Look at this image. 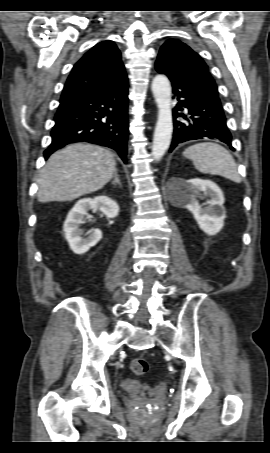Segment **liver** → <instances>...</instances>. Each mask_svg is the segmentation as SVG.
Wrapping results in <instances>:
<instances>
[{
	"instance_id": "6515ba94",
	"label": "liver",
	"mask_w": 270,
	"mask_h": 453,
	"mask_svg": "<svg viewBox=\"0 0 270 453\" xmlns=\"http://www.w3.org/2000/svg\"><path fill=\"white\" fill-rule=\"evenodd\" d=\"M116 171L113 154L100 146L77 143L54 153L39 174L41 203L72 201L103 188Z\"/></svg>"
}]
</instances>
